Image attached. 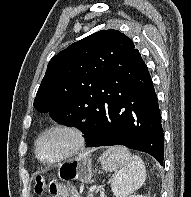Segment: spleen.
I'll return each instance as SVG.
<instances>
[{
  "instance_id": "1",
  "label": "spleen",
  "mask_w": 191,
  "mask_h": 197,
  "mask_svg": "<svg viewBox=\"0 0 191 197\" xmlns=\"http://www.w3.org/2000/svg\"><path fill=\"white\" fill-rule=\"evenodd\" d=\"M107 152L109 157L120 163V169L112 181L113 193L116 197H130L146 180L144 162L123 146L109 148Z\"/></svg>"
}]
</instances>
